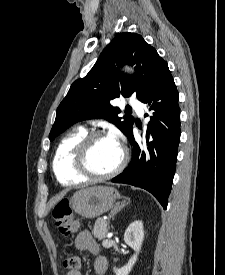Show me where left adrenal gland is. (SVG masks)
<instances>
[{
  "instance_id": "1",
  "label": "left adrenal gland",
  "mask_w": 225,
  "mask_h": 275,
  "mask_svg": "<svg viewBox=\"0 0 225 275\" xmlns=\"http://www.w3.org/2000/svg\"><path fill=\"white\" fill-rule=\"evenodd\" d=\"M128 204H129V200H128V202H126V201L117 202L116 205L114 206V208L112 209V211L109 214L108 224L110 222V219L114 218L115 215Z\"/></svg>"
}]
</instances>
